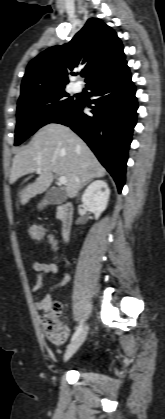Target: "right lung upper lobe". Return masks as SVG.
Segmentation results:
<instances>
[{
  "label": "right lung upper lobe",
  "instance_id": "1",
  "mask_svg": "<svg viewBox=\"0 0 165 419\" xmlns=\"http://www.w3.org/2000/svg\"><path fill=\"white\" fill-rule=\"evenodd\" d=\"M124 59L116 33L99 19L90 18L69 43L51 47L29 63L19 101L65 88L68 74H74L72 70L79 64H86L82 72H86L89 85L119 68Z\"/></svg>",
  "mask_w": 165,
  "mask_h": 419
}]
</instances>
